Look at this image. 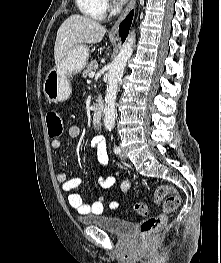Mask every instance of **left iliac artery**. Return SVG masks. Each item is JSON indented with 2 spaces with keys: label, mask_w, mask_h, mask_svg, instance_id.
Here are the masks:
<instances>
[{
  "label": "left iliac artery",
  "mask_w": 221,
  "mask_h": 263,
  "mask_svg": "<svg viewBox=\"0 0 221 263\" xmlns=\"http://www.w3.org/2000/svg\"><path fill=\"white\" fill-rule=\"evenodd\" d=\"M114 152H115L116 154L120 153V148H119L118 146H115V147H114Z\"/></svg>",
  "instance_id": "obj_1"
}]
</instances>
